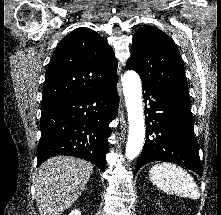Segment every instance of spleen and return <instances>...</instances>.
I'll use <instances>...</instances> for the list:
<instances>
[{"label": "spleen", "mask_w": 221, "mask_h": 215, "mask_svg": "<svg viewBox=\"0 0 221 215\" xmlns=\"http://www.w3.org/2000/svg\"><path fill=\"white\" fill-rule=\"evenodd\" d=\"M149 176L157 188L168 194H177L190 199L200 197L198 186L192 176L175 164H157L151 168Z\"/></svg>", "instance_id": "spleen-1"}]
</instances>
